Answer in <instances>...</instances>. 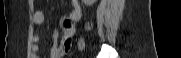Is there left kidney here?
<instances>
[{"label": "left kidney", "instance_id": "1", "mask_svg": "<svg viewBox=\"0 0 181 58\" xmlns=\"http://www.w3.org/2000/svg\"><path fill=\"white\" fill-rule=\"evenodd\" d=\"M82 2L86 5V6H91L94 4V2H96V0H82Z\"/></svg>", "mask_w": 181, "mask_h": 58}]
</instances>
